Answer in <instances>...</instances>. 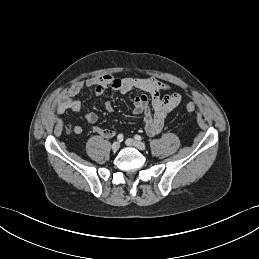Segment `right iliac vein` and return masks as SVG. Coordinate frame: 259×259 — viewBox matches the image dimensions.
<instances>
[{
    "mask_svg": "<svg viewBox=\"0 0 259 259\" xmlns=\"http://www.w3.org/2000/svg\"><path fill=\"white\" fill-rule=\"evenodd\" d=\"M119 148H120V143H119V142H114V143L112 144V150H113V151H118Z\"/></svg>",
    "mask_w": 259,
    "mask_h": 259,
    "instance_id": "obj_1",
    "label": "right iliac vein"
}]
</instances>
